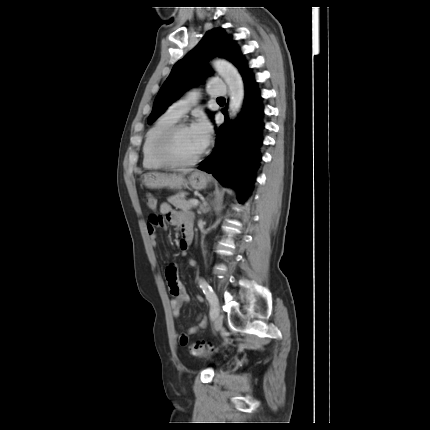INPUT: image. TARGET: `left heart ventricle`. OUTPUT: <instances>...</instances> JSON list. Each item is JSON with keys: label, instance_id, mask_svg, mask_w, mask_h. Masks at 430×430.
<instances>
[{"label": "left heart ventricle", "instance_id": "left-heart-ventricle-1", "mask_svg": "<svg viewBox=\"0 0 430 430\" xmlns=\"http://www.w3.org/2000/svg\"><path fill=\"white\" fill-rule=\"evenodd\" d=\"M202 150L191 128L181 129L177 133L173 143V152L177 158L191 159L197 156Z\"/></svg>", "mask_w": 430, "mask_h": 430}]
</instances>
